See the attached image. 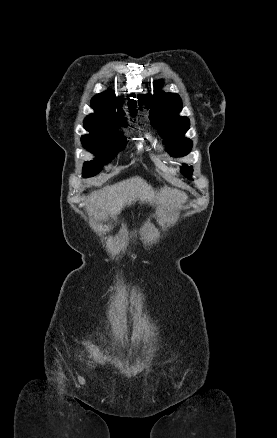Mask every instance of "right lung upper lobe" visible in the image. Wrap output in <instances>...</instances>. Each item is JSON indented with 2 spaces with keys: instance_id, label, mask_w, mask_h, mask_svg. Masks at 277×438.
Returning <instances> with one entry per match:
<instances>
[{
  "instance_id": "1",
  "label": "right lung upper lobe",
  "mask_w": 277,
  "mask_h": 438,
  "mask_svg": "<svg viewBox=\"0 0 277 438\" xmlns=\"http://www.w3.org/2000/svg\"><path fill=\"white\" fill-rule=\"evenodd\" d=\"M133 96V95H131ZM134 97V96H133ZM128 107L131 116H135L137 113L136 102L129 99ZM92 108L95 110L94 114L87 116L84 120V126L87 127H104L118 123H124V112L120 109L121 99L117 98L113 91L108 90L103 93L97 94L92 98ZM119 111L116 113L115 109Z\"/></svg>"
}]
</instances>
